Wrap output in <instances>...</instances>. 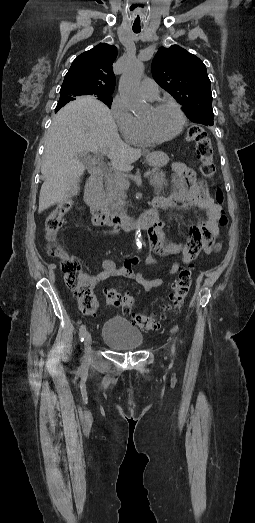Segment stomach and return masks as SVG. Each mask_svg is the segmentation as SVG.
<instances>
[{"label": "stomach", "mask_w": 255, "mask_h": 523, "mask_svg": "<svg viewBox=\"0 0 255 523\" xmlns=\"http://www.w3.org/2000/svg\"><path fill=\"white\" fill-rule=\"evenodd\" d=\"M169 159L170 154L168 151L153 152V154H147L146 156L148 166H153V168H162Z\"/></svg>", "instance_id": "0dacf381"}]
</instances>
